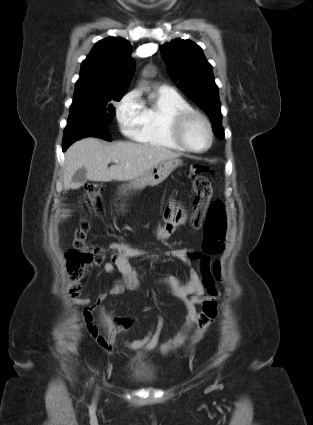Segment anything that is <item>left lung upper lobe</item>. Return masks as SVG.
I'll list each match as a JSON object with an SVG mask.
<instances>
[{
	"label": "left lung upper lobe",
	"mask_w": 313,
	"mask_h": 425,
	"mask_svg": "<svg viewBox=\"0 0 313 425\" xmlns=\"http://www.w3.org/2000/svg\"><path fill=\"white\" fill-rule=\"evenodd\" d=\"M167 71L180 90L209 116L213 131L224 138L218 87L202 49L190 40L174 39L161 46Z\"/></svg>",
	"instance_id": "5c2ea615"
}]
</instances>
